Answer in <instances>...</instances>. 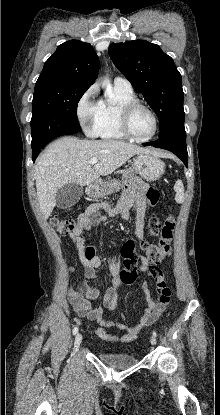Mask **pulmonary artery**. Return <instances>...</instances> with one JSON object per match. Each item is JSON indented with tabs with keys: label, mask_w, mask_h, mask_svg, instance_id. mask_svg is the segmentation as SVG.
Wrapping results in <instances>:
<instances>
[{
	"label": "pulmonary artery",
	"mask_w": 220,
	"mask_h": 415,
	"mask_svg": "<svg viewBox=\"0 0 220 415\" xmlns=\"http://www.w3.org/2000/svg\"><path fill=\"white\" fill-rule=\"evenodd\" d=\"M113 86L122 91H132L130 82L122 77H116L113 81Z\"/></svg>",
	"instance_id": "e3ab8cb5"
}]
</instances>
